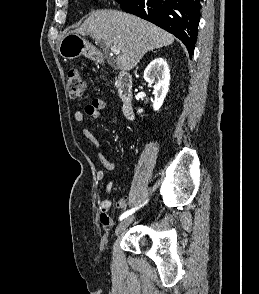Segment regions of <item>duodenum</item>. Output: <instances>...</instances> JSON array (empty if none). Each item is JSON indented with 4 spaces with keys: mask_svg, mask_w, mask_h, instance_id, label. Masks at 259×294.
<instances>
[{
    "mask_svg": "<svg viewBox=\"0 0 259 294\" xmlns=\"http://www.w3.org/2000/svg\"><path fill=\"white\" fill-rule=\"evenodd\" d=\"M117 93L123 104L124 114L133 117V81L130 73L122 71L116 77Z\"/></svg>",
    "mask_w": 259,
    "mask_h": 294,
    "instance_id": "1",
    "label": "duodenum"
}]
</instances>
